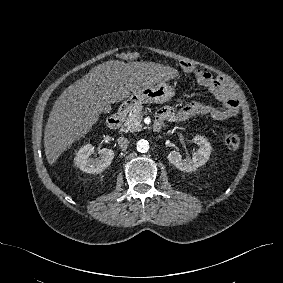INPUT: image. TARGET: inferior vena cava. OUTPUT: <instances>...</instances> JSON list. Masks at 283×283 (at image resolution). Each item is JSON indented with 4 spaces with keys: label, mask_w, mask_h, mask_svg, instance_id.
<instances>
[{
    "label": "inferior vena cava",
    "mask_w": 283,
    "mask_h": 283,
    "mask_svg": "<svg viewBox=\"0 0 283 283\" xmlns=\"http://www.w3.org/2000/svg\"><path fill=\"white\" fill-rule=\"evenodd\" d=\"M117 142L121 150L125 151L127 149L128 144H129V140L127 138L119 137L117 139Z\"/></svg>",
    "instance_id": "1"
}]
</instances>
